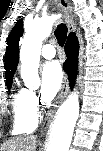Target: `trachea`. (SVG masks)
Segmentation results:
<instances>
[{"mask_svg": "<svg viewBox=\"0 0 103 151\" xmlns=\"http://www.w3.org/2000/svg\"><path fill=\"white\" fill-rule=\"evenodd\" d=\"M67 27L64 24L58 25L56 28L54 34L57 38L58 44L62 47L66 41L67 38Z\"/></svg>", "mask_w": 103, "mask_h": 151, "instance_id": "obj_1", "label": "trachea"}]
</instances>
